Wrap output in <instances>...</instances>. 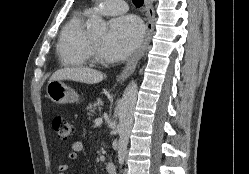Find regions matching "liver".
Returning <instances> with one entry per match:
<instances>
[{
  "instance_id": "liver-1",
  "label": "liver",
  "mask_w": 249,
  "mask_h": 174,
  "mask_svg": "<svg viewBox=\"0 0 249 174\" xmlns=\"http://www.w3.org/2000/svg\"><path fill=\"white\" fill-rule=\"evenodd\" d=\"M103 74L87 67H67L57 70L50 78L54 80H71L86 84H96L102 81Z\"/></svg>"
}]
</instances>
